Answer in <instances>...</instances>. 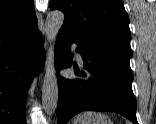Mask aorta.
<instances>
[{"instance_id": "obj_1", "label": "aorta", "mask_w": 156, "mask_h": 124, "mask_svg": "<svg viewBox=\"0 0 156 124\" xmlns=\"http://www.w3.org/2000/svg\"><path fill=\"white\" fill-rule=\"evenodd\" d=\"M64 22V14L59 10L49 12L45 20L44 32L50 43L46 72L42 86V105L48 115L55 113L58 103V82L54 66L53 44Z\"/></svg>"}]
</instances>
